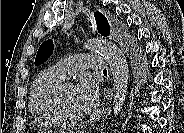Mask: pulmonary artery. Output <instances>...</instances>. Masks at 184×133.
I'll return each mask as SVG.
<instances>
[{
	"label": "pulmonary artery",
	"instance_id": "1",
	"mask_svg": "<svg viewBox=\"0 0 184 133\" xmlns=\"http://www.w3.org/2000/svg\"><path fill=\"white\" fill-rule=\"evenodd\" d=\"M55 68L65 78L82 69H104V58L96 54H75L59 60Z\"/></svg>",
	"mask_w": 184,
	"mask_h": 133
}]
</instances>
